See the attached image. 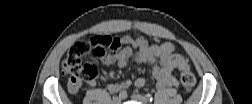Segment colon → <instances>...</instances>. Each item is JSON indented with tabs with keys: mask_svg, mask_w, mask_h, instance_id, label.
Instances as JSON below:
<instances>
[{
	"mask_svg": "<svg viewBox=\"0 0 252 104\" xmlns=\"http://www.w3.org/2000/svg\"><path fill=\"white\" fill-rule=\"evenodd\" d=\"M121 43L119 38L104 35H94L77 41L62 62V73L68 77L69 90L76 92L83 81H88L96 75L95 66L84 63L83 58L89 56L94 59H104L113 55ZM180 81L186 92L190 93L194 90L196 78L192 72L182 71Z\"/></svg>",
	"mask_w": 252,
	"mask_h": 104,
	"instance_id": "5ec220e1",
	"label": "colon"
}]
</instances>
